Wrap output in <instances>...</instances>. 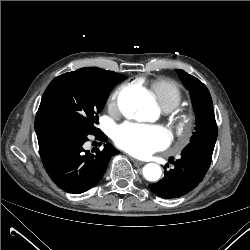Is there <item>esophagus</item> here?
I'll use <instances>...</instances> for the list:
<instances>
[{
	"instance_id": "1",
	"label": "esophagus",
	"mask_w": 250,
	"mask_h": 250,
	"mask_svg": "<svg viewBox=\"0 0 250 250\" xmlns=\"http://www.w3.org/2000/svg\"><path fill=\"white\" fill-rule=\"evenodd\" d=\"M131 160H132V162L134 163L135 166H141V165L144 164L143 161L137 160V159H135V158H132Z\"/></svg>"
}]
</instances>
